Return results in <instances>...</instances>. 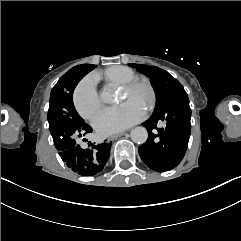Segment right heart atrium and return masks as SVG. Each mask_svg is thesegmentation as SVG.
Listing matches in <instances>:
<instances>
[{
  "label": "right heart atrium",
  "mask_w": 241,
  "mask_h": 241,
  "mask_svg": "<svg viewBox=\"0 0 241 241\" xmlns=\"http://www.w3.org/2000/svg\"><path fill=\"white\" fill-rule=\"evenodd\" d=\"M100 83V76L96 73H91L73 93L74 107L84 119H90L101 106V102L96 95Z\"/></svg>",
  "instance_id": "1"
}]
</instances>
